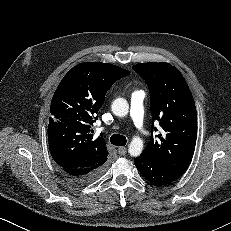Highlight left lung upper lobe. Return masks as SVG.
<instances>
[{"mask_svg": "<svg viewBox=\"0 0 231 231\" xmlns=\"http://www.w3.org/2000/svg\"><path fill=\"white\" fill-rule=\"evenodd\" d=\"M147 83L152 120L159 122L160 134L142 154L157 163L187 169L197 137V113L191 91L179 70L169 63H139L132 67ZM157 128L152 125V132Z\"/></svg>", "mask_w": 231, "mask_h": 231, "instance_id": "5c2ea615", "label": "left lung upper lobe"}]
</instances>
